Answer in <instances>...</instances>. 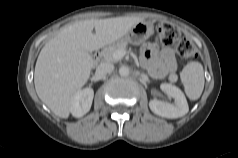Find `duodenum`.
<instances>
[{
  "mask_svg": "<svg viewBox=\"0 0 238 158\" xmlns=\"http://www.w3.org/2000/svg\"><path fill=\"white\" fill-rule=\"evenodd\" d=\"M97 59H98V55H97V53L94 55V61H97Z\"/></svg>",
  "mask_w": 238,
  "mask_h": 158,
  "instance_id": "410a0bca",
  "label": "duodenum"
}]
</instances>
